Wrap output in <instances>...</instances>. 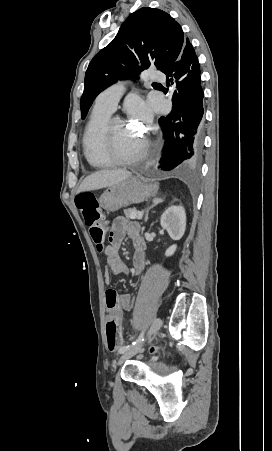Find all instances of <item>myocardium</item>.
Returning <instances> with one entry per match:
<instances>
[{
  "label": "myocardium",
  "mask_w": 272,
  "mask_h": 451,
  "mask_svg": "<svg viewBox=\"0 0 272 451\" xmlns=\"http://www.w3.org/2000/svg\"><path fill=\"white\" fill-rule=\"evenodd\" d=\"M116 120H123L119 117H109L106 122L103 125V128L100 132V140L104 142L105 147L107 151L109 152V157L111 160V152L114 149H117L115 142H114V135L112 130V125ZM141 146H135L131 148L126 154L122 156H118L116 158V161L119 163H128L133 161L135 158H137L140 155L141 152Z\"/></svg>",
  "instance_id": "f54148a6"
}]
</instances>
